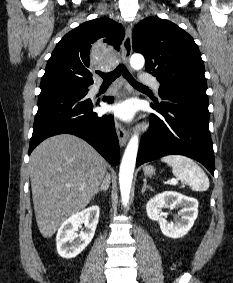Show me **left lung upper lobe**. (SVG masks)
Here are the masks:
<instances>
[{
    "mask_svg": "<svg viewBox=\"0 0 233 283\" xmlns=\"http://www.w3.org/2000/svg\"><path fill=\"white\" fill-rule=\"evenodd\" d=\"M132 43L134 51L145 56L146 71L161 83L160 97L181 88L206 91L205 68L198 46L174 23L145 18L134 28Z\"/></svg>",
    "mask_w": 233,
    "mask_h": 283,
    "instance_id": "obj_1",
    "label": "left lung upper lobe"
}]
</instances>
